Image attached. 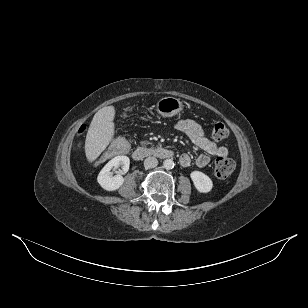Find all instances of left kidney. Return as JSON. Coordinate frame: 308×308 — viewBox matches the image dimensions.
I'll use <instances>...</instances> for the list:
<instances>
[{
	"mask_svg": "<svg viewBox=\"0 0 308 308\" xmlns=\"http://www.w3.org/2000/svg\"><path fill=\"white\" fill-rule=\"evenodd\" d=\"M190 177L194 183L195 188L200 193H208L212 190V180L206 174L200 171H193L191 172Z\"/></svg>",
	"mask_w": 308,
	"mask_h": 308,
	"instance_id": "obj_1",
	"label": "left kidney"
}]
</instances>
